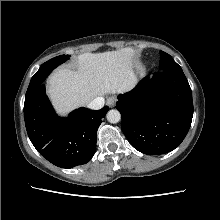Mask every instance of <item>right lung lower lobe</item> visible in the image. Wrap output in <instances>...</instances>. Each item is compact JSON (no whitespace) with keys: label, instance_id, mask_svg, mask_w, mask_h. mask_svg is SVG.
I'll use <instances>...</instances> for the list:
<instances>
[{"label":"right lung lower lobe","instance_id":"right-lung-lower-lobe-1","mask_svg":"<svg viewBox=\"0 0 220 220\" xmlns=\"http://www.w3.org/2000/svg\"><path fill=\"white\" fill-rule=\"evenodd\" d=\"M108 110V106L97 111L79 108L67 118L58 117L41 84L25 96L24 119L36 150L58 167L72 168L93 157L97 130Z\"/></svg>","mask_w":220,"mask_h":220}]
</instances>
